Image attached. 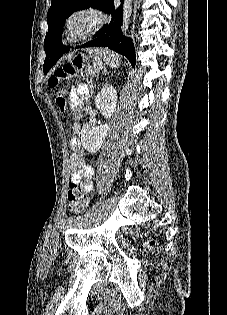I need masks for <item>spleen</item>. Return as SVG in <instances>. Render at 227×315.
I'll list each match as a JSON object with an SVG mask.
<instances>
[{
    "label": "spleen",
    "instance_id": "spleen-1",
    "mask_svg": "<svg viewBox=\"0 0 227 315\" xmlns=\"http://www.w3.org/2000/svg\"><path fill=\"white\" fill-rule=\"evenodd\" d=\"M104 57L106 59V63L109 64L113 68H117L119 63L117 62L118 56L111 52L104 53Z\"/></svg>",
    "mask_w": 227,
    "mask_h": 315
}]
</instances>
